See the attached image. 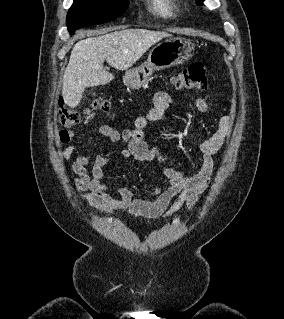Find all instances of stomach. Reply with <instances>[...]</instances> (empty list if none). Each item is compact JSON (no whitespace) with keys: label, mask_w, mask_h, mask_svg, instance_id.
<instances>
[{"label":"stomach","mask_w":284,"mask_h":319,"mask_svg":"<svg viewBox=\"0 0 284 319\" xmlns=\"http://www.w3.org/2000/svg\"><path fill=\"white\" fill-rule=\"evenodd\" d=\"M194 53V45L188 39L170 38L156 45L148 59L137 69L127 72L124 83L131 89L145 86L155 71L163 70L188 61Z\"/></svg>","instance_id":"obj_1"}]
</instances>
